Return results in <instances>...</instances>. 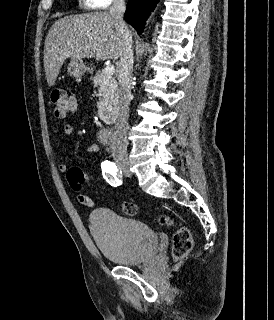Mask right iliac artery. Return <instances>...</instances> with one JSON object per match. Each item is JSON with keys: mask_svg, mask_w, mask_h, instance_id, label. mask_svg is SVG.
Segmentation results:
<instances>
[{"mask_svg": "<svg viewBox=\"0 0 274 320\" xmlns=\"http://www.w3.org/2000/svg\"><path fill=\"white\" fill-rule=\"evenodd\" d=\"M102 167V171L107 175V177H105L108 181V183H110L112 186H119L121 185L122 181H121V175L122 172L117 168V166L110 161H104L101 165Z\"/></svg>", "mask_w": 274, "mask_h": 320, "instance_id": "82829eb1", "label": "right iliac artery"}]
</instances>
